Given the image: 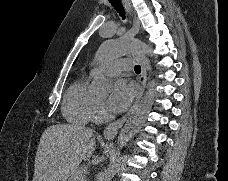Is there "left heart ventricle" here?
<instances>
[{"mask_svg": "<svg viewBox=\"0 0 228 181\" xmlns=\"http://www.w3.org/2000/svg\"><path fill=\"white\" fill-rule=\"evenodd\" d=\"M117 76H118V73L117 72H114V73L110 74L109 76L100 75L99 77H105V78H108L109 79L110 90H111V88L114 85V83L118 80L117 79Z\"/></svg>", "mask_w": 228, "mask_h": 181, "instance_id": "left-heart-ventricle-1", "label": "left heart ventricle"}]
</instances>
